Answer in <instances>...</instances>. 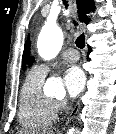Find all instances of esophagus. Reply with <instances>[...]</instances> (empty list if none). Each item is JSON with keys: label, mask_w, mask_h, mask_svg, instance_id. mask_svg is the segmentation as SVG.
Masks as SVG:
<instances>
[{"label": "esophagus", "mask_w": 116, "mask_h": 134, "mask_svg": "<svg viewBox=\"0 0 116 134\" xmlns=\"http://www.w3.org/2000/svg\"><path fill=\"white\" fill-rule=\"evenodd\" d=\"M80 108V100L77 101L76 105L74 106V108L72 109V111L69 114V117L66 120V124L75 117V115L78 113Z\"/></svg>", "instance_id": "obj_1"}]
</instances>
